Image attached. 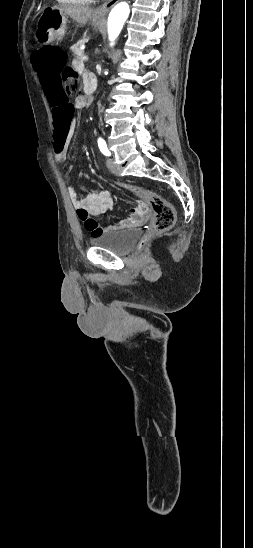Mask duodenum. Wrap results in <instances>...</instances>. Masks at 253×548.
<instances>
[{
	"mask_svg": "<svg viewBox=\"0 0 253 548\" xmlns=\"http://www.w3.org/2000/svg\"><path fill=\"white\" fill-rule=\"evenodd\" d=\"M97 86V82L95 77L90 76L88 77L84 82V91L87 96H91L92 93L95 91Z\"/></svg>",
	"mask_w": 253,
	"mask_h": 548,
	"instance_id": "obj_1",
	"label": "duodenum"
}]
</instances>
